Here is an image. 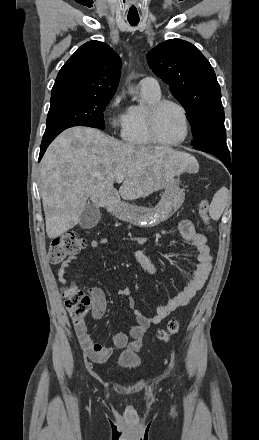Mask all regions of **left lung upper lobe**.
Listing matches in <instances>:
<instances>
[{
	"label": "left lung upper lobe",
	"instance_id": "obj_1",
	"mask_svg": "<svg viewBox=\"0 0 259 440\" xmlns=\"http://www.w3.org/2000/svg\"><path fill=\"white\" fill-rule=\"evenodd\" d=\"M150 68L187 111L192 146L226 142L221 90L209 61L191 43L167 40L147 54Z\"/></svg>",
	"mask_w": 259,
	"mask_h": 440
}]
</instances>
